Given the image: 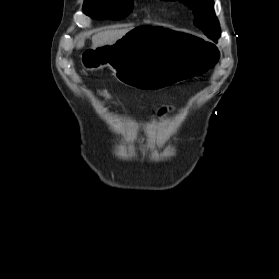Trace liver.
I'll return each instance as SVG.
<instances>
[{
  "label": "liver",
  "instance_id": "1",
  "mask_svg": "<svg viewBox=\"0 0 279 279\" xmlns=\"http://www.w3.org/2000/svg\"><path fill=\"white\" fill-rule=\"evenodd\" d=\"M131 29H116L100 32L92 37V48L96 49L104 45H111L127 34ZM84 46V39H80L77 48Z\"/></svg>",
  "mask_w": 279,
  "mask_h": 279
}]
</instances>
